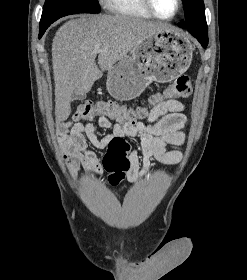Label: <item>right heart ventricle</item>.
I'll list each match as a JSON object with an SVG mask.
<instances>
[{"instance_id":"obj_1","label":"right heart ventricle","mask_w":247,"mask_h":280,"mask_svg":"<svg viewBox=\"0 0 247 280\" xmlns=\"http://www.w3.org/2000/svg\"><path fill=\"white\" fill-rule=\"evenodd\" d=\"M106 4L111 13L119 16L143 19L152 18L142 0H106Z\"/></svg>"}]
</instances>
